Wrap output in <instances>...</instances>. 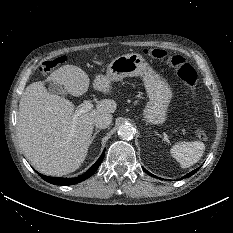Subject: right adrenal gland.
Segmentation results:
<instances>
[{
  "label": "right adrenal gland",
  "instance_id": "obj_1",
  "mask_svg": "<svg viewBox=\"0 0 233 233\" xmlns=\"http://www.w3.org/2000/svg\"><path fill=\"white\" fill-rule=\"evenodd\" d=\"M100 132V130H96L93 134V136L91 137V140H90V144L94 141L96 135Z\"/></svg>",
  "mask_w": 233,
  "mask_h": 233
}]
</instances>
